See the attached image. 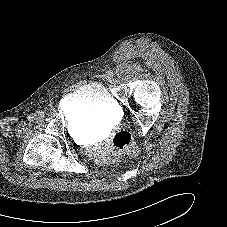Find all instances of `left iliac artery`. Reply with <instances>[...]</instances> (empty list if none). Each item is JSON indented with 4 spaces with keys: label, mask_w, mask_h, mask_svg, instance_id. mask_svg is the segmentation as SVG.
Returning a JSON list of instances; mask_svg holds the SVG:
<instances>
[{
    "label": "left iliac artery",
    "mask_w": 227,
    "mask_h": 227,
    "mask_svg": "<svg viewBox=\"0 0 227 227\" xmlns=\"http://www.w3.org/2000/svg\"><path fill=\"white\" fill-rule=\"evenodd\" d=\"M107 74H108L109 77H113V76H114V73H113V71H111V70L108 71Z\"/></svg>",
    "instance_id": "1"
}]
</instances>
